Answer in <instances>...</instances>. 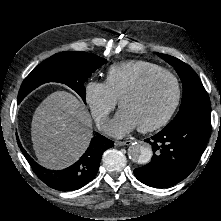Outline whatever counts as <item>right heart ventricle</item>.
<instances>
[{"mask_svg": "<svg viewBox=\"0 0 221 221\" xmlns=\"http://www.w3.org/2000/svg\"><path fill=\"white\" fill-rule=\"evenodd\" d=\"M163 70L156 63L145 60H127L114 63L109 66L105 73V83L109 87L113 96H119L129 87L138 82L145 75Z\"/></svg>", "mask_w": 221, "mask_h": 221, "instance_id": "1", "label": "right heart ventricle"}]
</instances>
